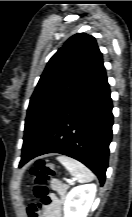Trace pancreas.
Returning a JSON list of instances; mask_svg holds the SVG:
<instances>
[{"mask_svg": "<svg viewBox=\"0 0 132 217\" xmlns=\"http://www.w3.org/2000/svg\"><path fill=\"white\" fill-rule=\"evenodd\" d=\"M69 188L68 185H64L60 190H59V194L61 195L62 199H64L66 197V192L67 189Z\"/></svg>", "mask_w": 132, "mask_h": 217, "instance_id": "pancreas-1", "label": "pancreas"}]
</instances>
